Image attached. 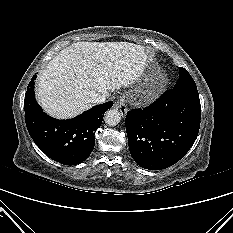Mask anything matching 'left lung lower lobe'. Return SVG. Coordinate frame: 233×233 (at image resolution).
Masks as SVG:
<instances>
[{"label":"left lung lower lobe","mask_w":233,"mask_h":233,"mask_svg":"<svg viewBox=\"0 0 233 233\" xmlns=\"http://www.w3.org/2000/svg\"><path fill=\"white\" fill-rule=\"evenodd\" d=\"M200 120L197 89L167 90L148 107L127 113L125 126L131 156L149 170L172 166L194 144Z\"/></svg>","instance_id":"left-lung-lower-lobe-1"}]
</instances>
